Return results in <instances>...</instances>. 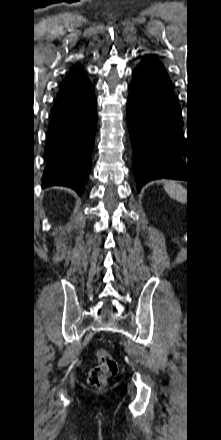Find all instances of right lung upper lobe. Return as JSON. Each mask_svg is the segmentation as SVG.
<instances>
[{"mask_svg": "<svg viewBox=\"0 0 221 440\" xmlns=\"http://www.w3.org/2000/svg\"><path fill=\"white\" fill-rule=\"evenodd\" d=\"M82 79H85L84 76L80 73H74L73 75H71L68 80L66 81L65 84H70V83H74L77 81H80Z\"/></svg>", "mask_w": 221, "mask_h": 440, "instance_id": "obj_1", "label": "right lung upper lobe"}]
</instances>
